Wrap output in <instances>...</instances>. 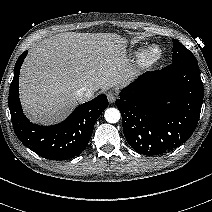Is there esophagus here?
Instances as JSON below:
<instances>
[{"mask_svg": "<svg viewBox=\"0 0 212 212\" xmlns=\"http://www.w3.org/2000/svg\"><path fill=\"white\" fill-rule=\"evenodd\" d=\"M107 98L110 103H113L116 100V94L113 91L107 93Z\"/></svg>", "mask_w": 212, "mask_h": 212, "instance_id": "obj_1", "label": "esophagus"}]
</instances>
